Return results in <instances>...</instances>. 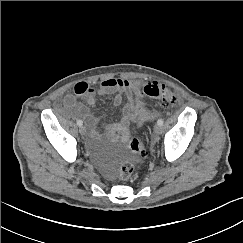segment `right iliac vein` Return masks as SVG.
<instances>
[{
  "label": "right iliac vein",
  "instance_id": "right-iliac-vein-1",
  "mask_svg": "<svg viewBox=\"0 0 243 243\" xmlns=\"http://www.w3.org/2000/svg\"><path fill=\"white\" fill-rule=\"evenodd\" d=\"M79 132H80L81 135H85L86 134V128L84 126H80Z\"/></svg>",
  "mask_w": 243,
  "mask_h": 243
}]
</instances>
